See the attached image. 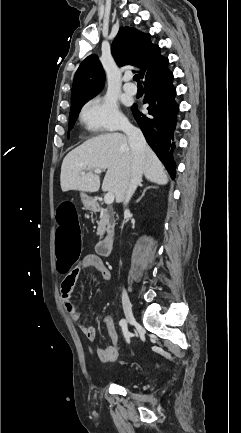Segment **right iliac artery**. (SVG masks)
I'll return each instance as SVG.
<instances>
[{"label": "right iliac artery", "mask_w": 241, "mask_h": 433, "mask_svg": "<svg viewBox=\"0 0 241 433\" xmlns=\"http://www.w3.org/2000/svg\"><path fill=\"white\" fill-rule=\"evenodd\" d=\"M120 326L123 328L124 326H126V320L125 319H121L119 322Z\"/></svg>", "instance_id": "obj_1"}]
</instances>
